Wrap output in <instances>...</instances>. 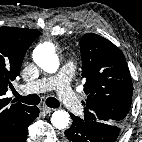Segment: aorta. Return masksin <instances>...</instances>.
<instances>
[{"label": "aorta", "mask_w": 142, "mask_h": 142, "mask_svg": "<svg viewBox=\"0 0 142 142\" xmlns=\"http://www.w3.org/2000/svg\"><path fill=\"white\" fill-rule=\"evenodd\" d=\"M35 63L47 73H55L59 68V58L54 44L45 42L33 52ZM70 122V115L64 110H57L51 116V123L57 129H65Z\"/></svg>", "instance_id": "762f6f07"}]
</instances>
